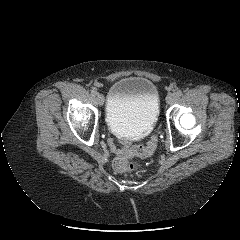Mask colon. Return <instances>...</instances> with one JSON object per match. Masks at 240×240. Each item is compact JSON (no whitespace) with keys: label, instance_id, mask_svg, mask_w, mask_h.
Instances as JSON below:
<instances>
[{"label":"colon","instance_id":"obj_1","mask_svg":"<svg viewBox=\"0 0 240 240\" xmlns=\"http://www.w3.org/2000/svg\"><path fill=\"white\" fill-rule=\"evenodd\" d=\"M155 142L156 141L153 138L145 146H133L118 154L113 161L114 169L119 173L137 171L139 169V165L133 162L131 159L133 157H144L150 155L155 148Z\"/></svg>","mask_w":240,"mask_h":240}]
</instances>
